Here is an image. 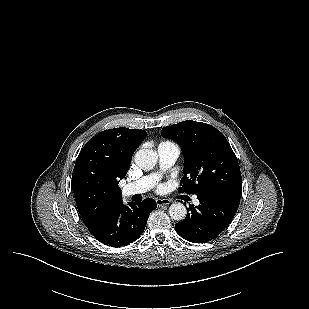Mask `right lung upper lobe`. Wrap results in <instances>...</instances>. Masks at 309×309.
<instances>
[{
  "mask_svg": "<svg viewBox=\"0 0 309 309\" xmlns=\"http://www.w3.org/2000/svg\"><path fill=\"white\" fill-rule=\"evenodd\" d=\"M146 134L145 130L124 127L109 129L83 147L73 170L72 188L86 225L122 201L119 180L125 177L132 155Z\"/></svg>",
  "mask_w": 309,
  "mask_h": 309,
  "instance_id": "cb5924a9",
  "label": "right lung upper lobe"
}]
</instances>
